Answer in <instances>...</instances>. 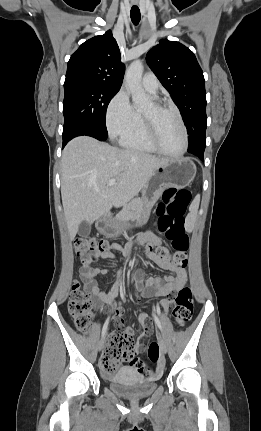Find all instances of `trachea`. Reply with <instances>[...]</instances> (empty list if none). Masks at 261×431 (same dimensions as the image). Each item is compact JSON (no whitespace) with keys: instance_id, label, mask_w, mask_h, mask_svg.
Listing matches in <instances>:
<instances>
[{"instance_id":"3493384b","label":"trachea","mask_w":261,"mask_h":431,"mask_svg":"<svg viewBox=\"0 0 261 431\" xmlns=\"http://www.w3.org/2000/svg\"><path fill=\"white\" fill-rule=\"evenodd\" d=\"M130 16L133 24L138 25L141 18V14L138 6H132Z\"/></svg>"}]
</instances>
